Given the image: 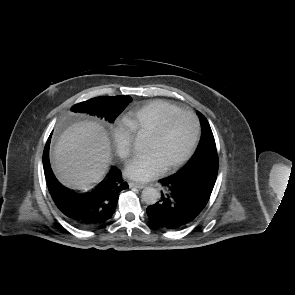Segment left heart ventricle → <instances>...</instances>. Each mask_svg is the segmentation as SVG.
Listing matches in <instances>:
<instances>
[{
  "mask_svg": "<svg viewBox=\"0 0 295 295\" xmlns=\"http://www.w3.org/2000/svg\"><path fill=\"white\" fill-rule=\"evenodd\" d=\"M194 122L187 115L173 118L164 134L158 138H148L145 151L154 153L166 167L180 159L189 149L194 136Z\"/></svg>",
  "mask_w": 295,
  "mask_h": 295,
  "instance_id": "b2bd125f",
  "label": "left heart ventricle"
}]
</instances>
